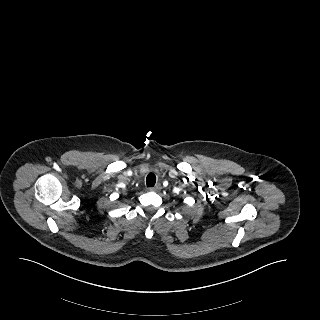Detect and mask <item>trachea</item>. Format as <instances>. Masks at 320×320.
<instances>
[{
    "label": "trachea",
    "instance_id": "1",
    "mask_svg": "<svg viewBox=\"0 0 320 320\" xmlns=\"http://www.w3.org/2000/svg\"><path fill=\"white\" fill-rule=\"evenodd\" d=\"M156 183V176L153 173L148 174L146 184L148 187H153Z\"/></svg>",
    "mask_w": 320,
    "mask_h": 320
}]
</instances>
